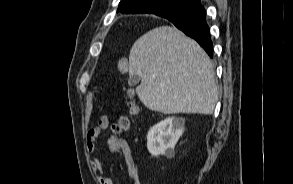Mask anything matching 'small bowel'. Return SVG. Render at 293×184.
<instances>
[{
  "label": "small bowel",
  "mask_w": 293,
  "mask_h": 184,
  "mask_svg": "<svg viewBox=\"0 0 293 184\" xmlns=\"http://www.w3.org/2000/svg\"><path fill=\"white\" fill-rule=\"evenodd\" d=\"M109 117L107 115L100 116L98 123L95 127L88 130L86 135L87 151L91 158V165L96 174V178L99 184H114L111 178L107 177L102 168V163L96 154V141L99 136L109 127ZM123 157L127 167L128 177L131 184H141L139 171L137 164L127 147L123 145Z\"/></svg>",
  "instance_id": "1"
}]
</instances>
